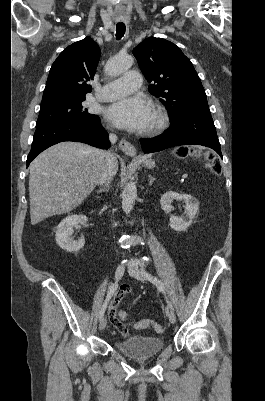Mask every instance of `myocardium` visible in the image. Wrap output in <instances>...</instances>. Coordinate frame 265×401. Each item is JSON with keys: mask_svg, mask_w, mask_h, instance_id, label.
<instances>
[{"mask_svg": "<svg viewBox=\"0 0 265 401\" xmlns=\"http://www.w3.org/2000/svg\"><path fill=\"white\" fill-rule=\"evenodd\" d=\"M154 112V121L153 123L146 128V132L149 134L156 133L163 129L168 122V114L165 108L160 104H155L152 107Z\"/></svg>", "mask_w": 265, "mask_h": 401, "instance_id": "myocardium-1", "label": "myocardium"}]
</instances>
